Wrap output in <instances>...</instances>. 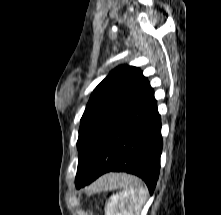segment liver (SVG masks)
Masks as SVG:
<instances>
[{"instance_id": "1", "label": "liver", "mask_w": 221, "mask_h": 215, "mask_svg": "<svg viewBox=\"0 0 221 215\" xmlns=\"http://www.w3.org/2000/svg\"><path fill=\"white\" fill-rule=\"evenodd\" d=\"M108 181H110V175H106L103 178H101L98 183L99 184H106Z\"/></svg>"}]
</instances>
